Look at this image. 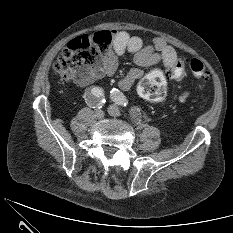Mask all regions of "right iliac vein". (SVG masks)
Instances as JSON below:
<instances>
[{"label": "right iliac vein", "instance_id": "1", "mask_svg": "<svg viewBox=\"0 0 233 233\" xmlns=\"http://www.w3.org/2000/svg\"><path fill=\"white\" fill-rule=\"evenodd\" d=\"M95 116H96V118H98V119H102V118L104 117V112H103V110H101L100 108H97V109L95 110Z\"/></svg>", "mask_w": 233, "mask_h": 233}]
</instances>
